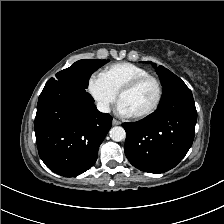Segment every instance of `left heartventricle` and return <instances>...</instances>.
I'll use <instances>...</instances> for the list:
<instances>
[{"label":"left heart ventricle","instance_id":"b2bd125f","mask_svg":"<svg viewBox=\"0 0 224 224\" xmlns=\"http://www.w3.org/2000/svg\"><path fill=\"white\" fill-rule=\"evenodd\" d=\"M157 97V86L154 81L146 80L120 98L131 115L142 113L149 109Z\"/></svg>","mask_w":224,"mask_h":224}]
</instances>
